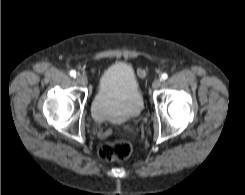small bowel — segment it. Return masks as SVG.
Here are the masks:
<instances>
[{"instance_id": "1", "label": "small bowel", "mask_w": 245, "mask_h": 195, "mask_svg": "<svg viewBox=\"0 0 245 195\" xmlns=\"http://www.w3.org/2000/svg\"><path fill=\"white\" fill-rule=\"evenodd\" d=\"M140 74H144V72L143 71H140Z\"/></svg>"}]
</instances>
